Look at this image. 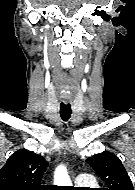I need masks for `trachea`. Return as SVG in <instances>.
<instances>
[{
    "label": "trachea",
    "mask_w": 135,
    "mask_h": 190,
    "mask_svg": "<svg viewBox=\"0 0 135 190\" xmlns=\"http://www.w3.org/2000/svg\"><path fill=\"white\" fill-rule=\"evenodd\" d=\"M71 105L70 104H64L61 103L60 105V116L63 121H68V119L71 117Z\"/></svg>",
    "instance_id": "3493384b"
}]
</instances>
